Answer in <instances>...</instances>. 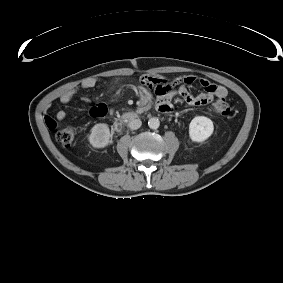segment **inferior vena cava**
I'll return each instance as SVG.
<instances>
[{
  "label": "inferior vena cava",
  "mask_w": 283,
  "mask_h": 283,
  "mask_svg": "<svg viewBox=\"0 0 283 283\" xmlns=\"http://www.w3.org/2000/svg\"><path fill=\"white\" fill-rule=\"evenodd\" d=\"M142 125V122L140 119H132L129 123L128 126L131 130H136L139 129Z\"/></svg>",
  "instance_id": "1"
}]
</instances>
